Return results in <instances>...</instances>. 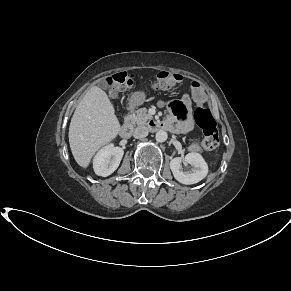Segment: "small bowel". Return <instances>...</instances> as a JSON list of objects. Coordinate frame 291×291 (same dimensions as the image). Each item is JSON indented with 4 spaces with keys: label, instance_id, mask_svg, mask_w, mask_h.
I'll use <instances>...</instances> for the list:
<instances>
[{
    "label": "small bowel",
    "instance_id": "small-bowel-1",
    "mask_svg": "<svg viewBox=\"0 0 291 291\" xmlns=\"http://www.w3.org/2000/svg\"><path fill=\"white\" fill-rule=\"evenodd\" d=\"M175 102L179 103L183 107V109H184L183 115H186L187 110H188V104H189L188 96L184 95L181 98V100H179V101L168 102L171 112L174 115L178 116L177 112L173 108V103H175ZM162 104H164V103H162ZM164 126L169 130L178 131V132H189L192 130V127H193L192 121L187 116H185L181 120H176L173 117H168L164 122Z\"/></svg>",
    "mask_w": 291,
    "mask_h": 291
}]
</instances>
